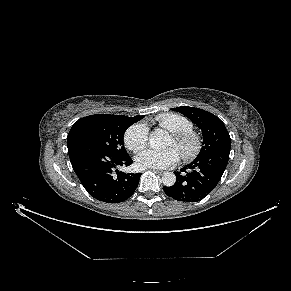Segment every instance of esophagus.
Listing matches in <instances>:
<instances>
[{"label": "esophagus", "instance_id": "34e87169", "mask_svg": "<svg viewBox=\"0 0 291 291\" xmlns=\"http://www.w3.org/2000/svg\"><path fill=\"white\" fill-rule=\"evenodd\" d=\"M152 171L158 173V174H163L164 171L163 170H157V169H152Z\"/></svg>", "mask_w": 291, "mask_h": 291}]
</instances>
